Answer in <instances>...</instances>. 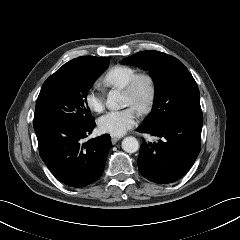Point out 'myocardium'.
<instances>
[{"label": "myocardium", "instance_id": "f54148a6", "mask_svg": "<svg viewBox=\"0 0 240 240\" xmlns=\"http://www.w3.org/2000/svg\"><path fill=\"white\" fill-rule=\"evenodd\" d=\"M141 81L146 82L148 86V94L145 102L137 112L141 115H145L150 112L156 96V84L153 76L146 71H136L129 77L121 90L124 94L133 95Z\"/></svg>", "mask_w": 240, "mask_h": 240}]
</instances>
